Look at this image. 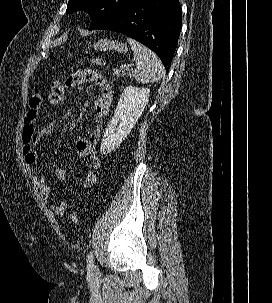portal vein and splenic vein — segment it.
I'll return each mask as SVG.
<instances>
[{
	"instance_id": "obj_1",
	"label": "portal vein and splenic vein",
	"mask_w": 272,
	"mask_h": 303,
	"mask_svg": "<svg viewBox=\"0 0 272 303\" xmlns=\"http://www.w3.org/2000/svg\"><path fill=\"white\" fill-rule=\"evenodd\" d=\"M124 68H125L127 71H130V70H131V68H130L129 65H125Z\"/></svg>"
}]
</instances>
